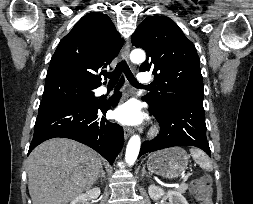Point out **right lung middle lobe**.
Listing matches in <instances>:
<instances>
[{"mask_svg": "<svg viewBox=\"0 0 253 204\" xmlns=\"http://www.w3.org/2000/svg\"><path fill=\"white\" fill-rule=\"evenodd\" d=\"M94 89V87L69 81L45 83L41 104L52 102L95 104L97 103V99L94 96Z\"/></svg>", "mask_w": 253, "mask_h": 204, "instance_id": "1", "label": "right lung middle lobe"}]
</instances>
